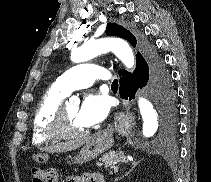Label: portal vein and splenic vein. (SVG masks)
Wrapping results in <instances>:
<instances>
[{"label": "portal vein and splenic vein", "instance_id": "18ae733b", "mask_svg": "<svg viewBox=\"0 0 211 182\" xmlns=\"http://www.w3.org/2000/svg\"><path fill=\"white\" fill-rule=\"evenodd\" d=\"M119 171L118 167H114V172L117 173Z\"/></svg>", "mask_w": 211, "mask_h": 182}]
</instances>
